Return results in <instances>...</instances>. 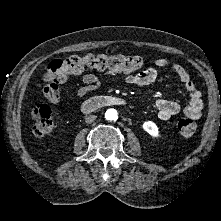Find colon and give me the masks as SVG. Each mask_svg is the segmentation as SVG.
I'll return each mask as SVG.
<instances>
[{
  "mask_svg": "<svg viewBox=\"0 0 221 221\" xmlns=\"http://www.w3.org/2000/svg\"><path fill=\"white\" fill-rule=\"evenodd\" d=\"M143 66V59L139 56H105L87 55L71 56L64 60L51 61L43 76L41 91L45 97L56 98L59 96V84L63 83L69 74H79L85 67L96 69H112L117 72H133ZM32 131L37 137L50 135L54 130L52 111L43 104L37 105L33 112ZM181 135L191 137L196 131V124L191 118H183L178 122Z\"/></svg>",
  "mask_w": 221,
  "mask_h": 221,
  "instance_id": "colon-1",
  "label": "colon"
}]
</instances>
